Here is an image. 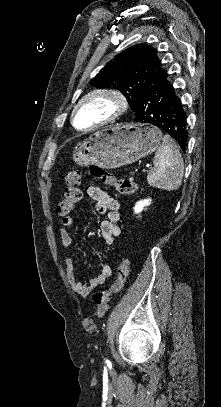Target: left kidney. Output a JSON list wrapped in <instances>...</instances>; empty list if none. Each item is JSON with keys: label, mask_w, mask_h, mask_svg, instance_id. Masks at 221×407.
Here are the masks:
<instances>
[{"label": "left kidney", "mask_w": 221, "mask_h": 407, "mask_svg": "<svg viewBox=\"0 0 221 407\" xmlns=\"http://www.w3.org/2000/svg\"><path fill=\"white\" fill-rule=\"evenodd\" d=\"M151 204L150 199H144L137 202L134 206V213L139 214L144 210V207L149 206Z\"/></svg>", "instance_id": "5707ae66"}]
</instances>
